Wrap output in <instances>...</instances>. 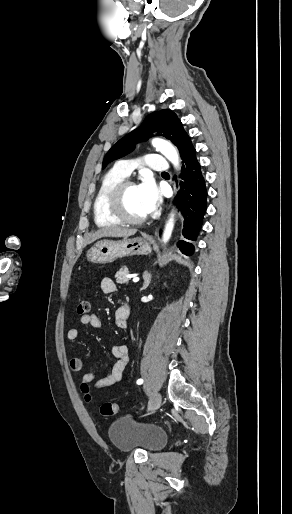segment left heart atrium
<instances>
[{"mask_svg": "<svg viewBox=\"0 0 292 514\" xmlns=\"http://www.w3.org/2000/svg\"><path fill=\"white\" fill-rule=\"evenodd\" d=\"M137 190L146 212H153L160 203V192L154 178L151 175H144Z\"/></svg>", "mask_w": 292, "mask_h": 514, "instance_id": "39dd6f15", "label": "left heart atrium"}]
</instances>
